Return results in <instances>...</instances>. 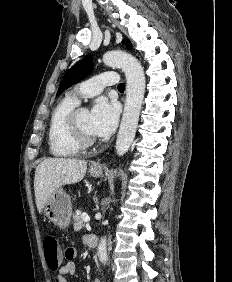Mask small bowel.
Listing matches in <instances>:
<instances>
[{
	"mask_svg": "<svg viewBox=\"0 0 232 282\" xmlns=\"http://www.w3.org/2000/svg\"><path fill=\"white\" fill-rule=\"evenodd\" d=\"M87 237V236H86ZM86 237L84 241L86 242ZM76 257V250L73 248L66 249L65 258L68 260L64 265H62L57 271L54 281L55 282H67L66 276H74L76 273V265L73 259ZM94 282H101L99 279H95Z\"/></svg>",
	"mask_w": 232,
	"mask_h": 282,
	"instance_id": "small-bowel-1",
	"label": "small bowel"
}]
</instances>
